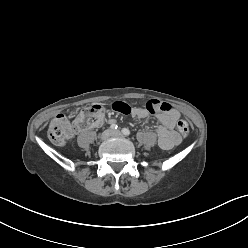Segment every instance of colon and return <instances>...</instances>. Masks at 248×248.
<instances>
[{"label": "colon", "mask_w": 248, "mask_h": 248, "mask_svg": "<svg viewBox=\"0 0 248 248\" xmlns=\"http://www.w3.org/2000/svg\"><path fill=\"white\" fill-rule=\"evenodd\" d=\"M112 109L121 114H130L132 108L129 104L117 101L112 104ZM146 109L151 113H164L170 110V105L156 100H149ZM104 109L99 104L87 106L80 114V121L75 120L71 124L64 115H58L50 124L48 136L52 142L62 145L71 136L72 131L78 133L82 130L83 124L96 125L102 121ZM177 128L183 136L189 133L188 123L181 119L177 122Z\"/></svg>", "instance_id": "obj_1"}]
</instances>
